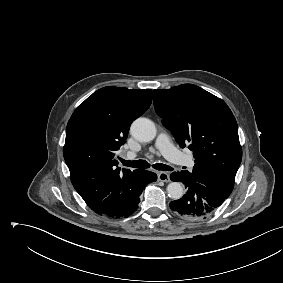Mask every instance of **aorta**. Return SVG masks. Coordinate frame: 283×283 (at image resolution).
<instances>
[{
  "mask_svg": "<svg viewBox=\"0 0 283 283\" xmlns=\"http://www.w3.org/2000/svg\"><path fill=\"white\" fill-rule=\"evenodd\" d=\"M131 135L140 142H150L156 137L155 124L147 118L136 119L130 128ZM168 196L178 200L183 196V186L179 182H171L167 186Z\"/></svg>",
  "mask_w": 283,
  "mask_h": 283,
  "instance_id": "aorta-1",
  "label": "aorta"
}]
</instances>
